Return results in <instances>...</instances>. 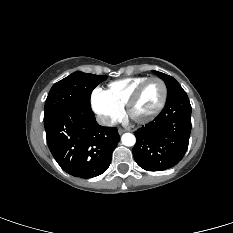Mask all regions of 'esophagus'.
Returning a JSON list of instances; mask_svg holds the SVG:
<instances>
[{"label": "esophagus", "mask_w": 233, "mask_h": 233, "mask_svg": "<svg viewBox=\"0 0 233 233\" xmlns=\"http://www.w3.org/2000/svg\"><path fill=\"white\" fill-rule=\"evenodd\" d=\"M125 132V130L124 129H122V128H120L119 130H118V133L121 135V134H123Z\"/></svg>", "instance_id": "34e87169"}]
</instances>
